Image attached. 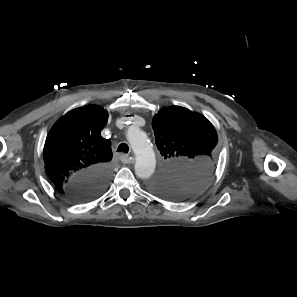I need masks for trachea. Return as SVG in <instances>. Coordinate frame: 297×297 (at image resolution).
<instances>
[{"instance_id":"3493384b","label":"trachea","mask_w":297,"mask_h":297,"mask_svg":"<svg viewBox=\"0 0 297 297\" xmlns=\"http://www.w3.org/2000/svg\"><path fill=\"white\" fill-rule=\"evenodd\" d=\"M118 152L127 153L129 151V147L126 143H121L117 149Z\"/></svg>"}]
</instances>
